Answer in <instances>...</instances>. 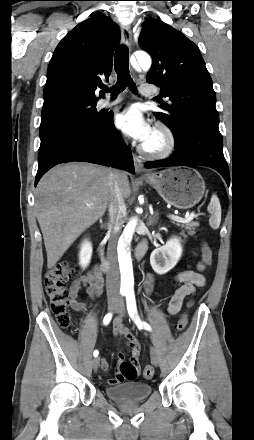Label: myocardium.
<instances>
[{"label":"myocardium","mask_w":254,"mask_h":440,"mask_svg":"<svg viewBox=\"0 0 254 440\" xmlns=\"http://www.w3.org/2000/svg\"><path fill=\"white\" fill-rule=\"evenodd\" d=\"M162 137V144L158 148L152 149L143 144L140 147L141 153L149 158L162 159L170 156L176 147V137L172 129L163 122H158L154 129Z\"/></svg>","instance_id":"1"}]
</instances>
